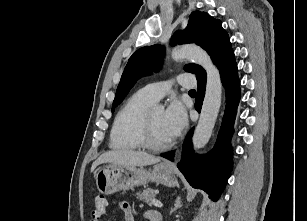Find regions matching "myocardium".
<instances>
[{
  "label": "myocardium",
  "instance_id": "obj_1",
  "mask_svg": "<svg viewBox=\"0 0 307 221\" xmlns=\"http://www.w3.org/2000/svg\"><path fill=\"white\" fill-rule=\"evenodd\" d=\"M152 109H149L142 120L141 129H140V143L142 147L154 151L160 152L168 149L172 145V141L166 143L158 144L153 139V126H152Z\"/></svg>",
  "mask_w": 307,
  "mask_h": 221
}]
</instances>
